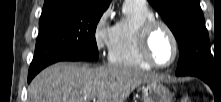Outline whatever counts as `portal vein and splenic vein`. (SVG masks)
I'll list each match as a JSON object with an SVG mask.
<instances>
[{
	"label": "portal vein and splenic vein",
	"mask_w": 221,
	"mask_h": 102,
	"mask_svg": "<svg viewBox=\"0 0 221 102\" xmlns=\"http://www.w3.org/2000/svg\"><path fill=\"white\" fill-rule=\"evenodd\" d=\"M95 99H96V98H93V102H95Z\"/></svg>",
	"instance_id": "portal-vein-and-splenic-vein-1"
}]
</instances>
